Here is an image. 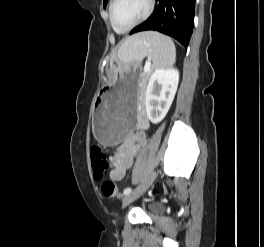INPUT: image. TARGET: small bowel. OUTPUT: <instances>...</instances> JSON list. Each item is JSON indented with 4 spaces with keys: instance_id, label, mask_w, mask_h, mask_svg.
Wrapping results in <instances>:
<instances>
[{
    "instance_id": "1",
    "label": "small bowel",
    "mask_w": 264,
    "mask_h": 247,
    "mask_svg": "<svg viewBox=\"0 0 264 247\" xmlns=\"http://www.w3.org/2000/svg\"><path fill=\"white\" fill-rule=\"evenodd\" d=\"M148 126V119L144 115H141L137 121L136 128L127 135L110 157L109 177L111 180H122L126 172L132 167L138 150L146 143L144 130Z\"/></svg>"
}]
</instances>
